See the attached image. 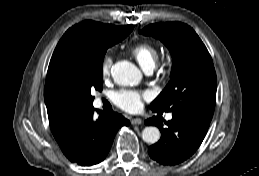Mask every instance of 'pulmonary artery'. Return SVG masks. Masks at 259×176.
Instances as JSON below:
<instances>
[{"instance_id":"obj_1","label":"pulmonary artery","mask_w":259,"mask_h":176,"mask_svg":"<svg viewBox=\"0 0 259 176\" xmlns=\"http://www.w3.org/2000/svg\"><path fill=\"white\" fill-rule=\"evenodd\" d=\"M151 71H152V69H147V70H145V72L148 73V74L151 73ZM172 117H173V116H172L171 113H169V114L166 115V119H167V120H171Z\"/></svg>"}]
</instances>
